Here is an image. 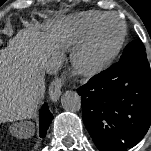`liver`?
<instances>
[{
    "label": "liver",
    "mask_w": 151,
    "mask_h": 151,
    "mask_svg": "<svg viewBox=\"0 0 151 151\" xmlns=\"http://www.w3.org/2000/svg\"><path fill=\"white\" fill-rule=\"evenodd\" d=\"M46 27L47 32L21 29L0 50V123L35 114L45 92V61L57 58L62 62L61 48L73 41L70 29L52 23Z\"/></svg>",
    "instance_id": "1"
}]
</instances>
